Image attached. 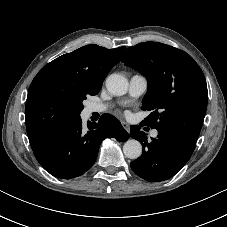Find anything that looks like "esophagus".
I'll return each mask as SVG.
<instances>
[{
    "label": "esophagus",
    "mask_w": 227,
    "mask_h": 227,
    "mask_svg": "<svg viewBox=\"0 0 227 227\" xmlns=\"http://www.w3.org/2000/svg\"><path fill=\"white\" fill-rule=\"evenodd\" d=\"M121 124H122L123 128L129 133L130 132V127H129L128 123L122 121Z\"/></svg>",
    "instance_id": "34e87169"
}]
</instances>
